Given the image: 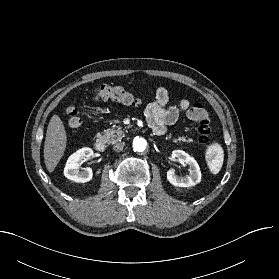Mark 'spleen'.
<instances>
[{
  "instance_id": "spleen-1",
  "label": "spleen",
  "mask_w": 279,
  "mask_h": 279,
  "mask_svg": "<svg viewBox=\"0 0 279 279\" xmlns=\"http://www.w3.org/2000/svg\"><path fill=\"white\" fill-rule=\"evenodd\" d=\"M209 168L213 174L219 173L224 161V152L220 144L215 143L209 147Z\"/></svg>"
}]
</instances>
